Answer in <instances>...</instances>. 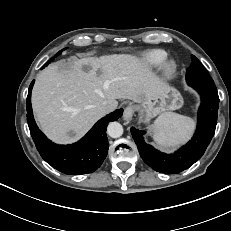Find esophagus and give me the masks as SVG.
I'll return each mask as SVG.
<instances>
[{
  "instance_id": "obj_1",
  "label": "esophagus",
  "mask_w": 231,
  "mask_h": 231,
  "mask_svg": "<svg viewBox=\"0 0 231 231\" xmlns=\"http://www.w3.org/2000/svg\"><path fill=\"white\" fill-rule=\"evenodd\" d=\"M135 113V107L133 105H129L124 109L123 118L127 121L132 120Z\"/></svg>"
}]
</instances>
